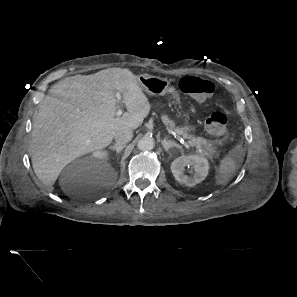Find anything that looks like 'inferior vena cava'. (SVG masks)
I'll use <instances>...</instances> for the list:
<instances>
[{"instance_id":"602c4592","label":"inferior vena cava","mask_w":297,"mask_h":297,"mask_svg":"<svg viewBox=\"0 0 297 297\" xmlns=\"http://www.w3.org/2000/svg\"><path fill=\"white\" fill-rule=\"evenodd\" d=\"M132 137L133 133L130 129L120 130L114 135V139L118 146H125L128 142L131 141Z\"/></svg>"}]
</instances>
